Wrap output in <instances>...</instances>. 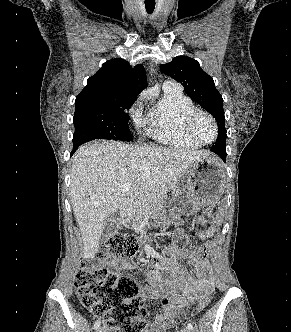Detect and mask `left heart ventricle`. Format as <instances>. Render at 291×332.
Here are the masks:
<instances>
[{
    "label": "left heart ventricle",
    "instance_id": "left-heart-ventricle-1",
    "mask_svg": "<svg viewBox=\"0 0 291 332\" xmlns=\"http://www.w3.org/2000/svg\"><path fill=\"white\" fill-rule=\"evenodd\" d=\"M194 132L203 141H211L214 137V128L210 120L200 115L194 122Z\"/></svg>",
    "mask_w": 291,
    "mask_h": 332
}]
</instances>
